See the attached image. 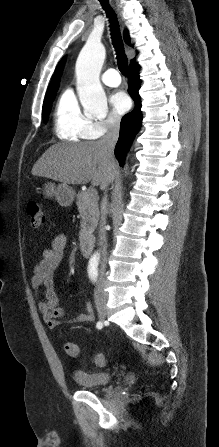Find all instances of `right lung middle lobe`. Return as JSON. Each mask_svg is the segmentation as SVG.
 I'll return each instance as SVG.
<instances>
[{"mask_svg":"<svg viewBox=\"0 0 219 447\" xmlns=\"http://www.w3.org/2000/svg\"><path fill=\"white\" fill-rule=\"evenodd\" d=\"M54 97H55V95H52V96H50V97H48V98H46L44 100L43 108H42V114H43L44 122L47 121V117H48V114H49V111H50V108H51V104H52V101H53Z\"/></svg>","mask_w":219,"mask_h":447,"instance_id":"1","label":"right lung middle lobe"}]
</instances>
